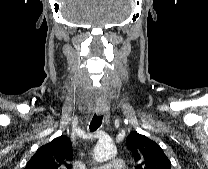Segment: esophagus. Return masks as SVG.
<instances>
[{"label":"esophagus","instance_id":"34e87169","mask_svg":"<svg viewBox=\"0 0 208 169\" xmlns=\"http://www.w3.org/2000/svg\"><path fill=\"white\" fill-rule=\"evenodd\" d=\"M95 112L97 115H103L105 117V122H109V107L107 105L105 106H97L95 108Z\"/></svg>","mask_w":208,"mask_h":169}]
</instances>
